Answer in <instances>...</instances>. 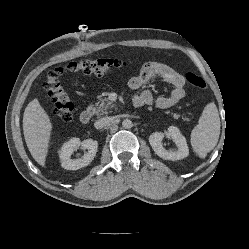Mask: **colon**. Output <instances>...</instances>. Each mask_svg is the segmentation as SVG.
<instances>
[{"instance_id": "colon-1", "label": "colon", "mask_w": 249, "mask_h": 249, "mask_svg": "<svg viewBox=\"0 0 249 249\" xmlns=\"http://www.w3.org/2000/svg\"><path fill=\"white\" fill-rule=\"evenodd\" d=\"M128 65L127 62L121 60L95 58L82 59L51 70L46 76L44 87L54 101L56 115L61 120L69 122L73 118L75 108L73 101L60 81L62 75L65 73L103 75L125 68ZM186 80L197 89L204 90L206 88L204 79L195 73H187Z\"/></svg>"}]
</instances>
